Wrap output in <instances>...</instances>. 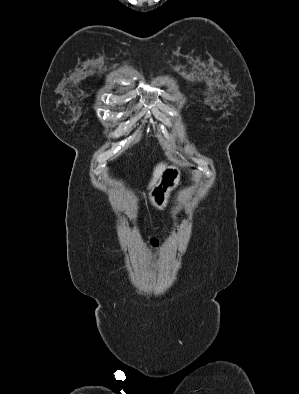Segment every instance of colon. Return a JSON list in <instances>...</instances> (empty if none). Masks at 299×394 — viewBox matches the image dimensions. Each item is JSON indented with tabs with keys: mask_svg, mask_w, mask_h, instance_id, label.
Masks as SVG:
<instances>
[{
	"mask_svg": "<svg viewBox=\"0 0 299 394\" xmlns=\"http://www.w3.org/2000/svg\"><path fill=\"white\" fill-rule=\"evenodd\" d=\"M159 241H160V237H152L150 239V244L152 246H157L159 244Z\"/></svg>",
	"mask_w": 299,
	"mask_h": 394,
	"instance_id": "colon-1",
	"label": "colon"
}]
</instances>
